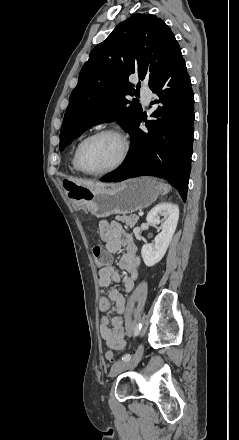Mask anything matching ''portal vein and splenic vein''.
Segmentation results:
<instances>
[{"mask_svg": "<svg viewBox=\"0 0 239 440\" xmlns=\"http://www.w3.org/2000/svg\"><path fill=\"white\" fill-rule=\"evenodd\" d=\"M143 213L142 212H139V215H142Z\"/></svg>", "mask_w": 239, "mask_h": 440, "instance_id": "1", "label": "portal vein and splenic vein"}]
</instances>
